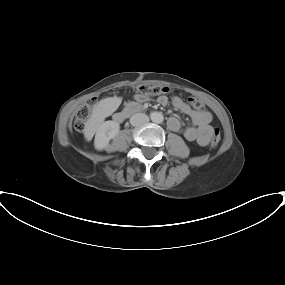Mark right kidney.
<instances>
[{
    "label": "right kidney",
    "instance_id": "ca27d5eb",
    "mask_svg": "<svg viewBox=\"0 0 285 285\" xmlns=\"http://www.w3.org/2000/svg\"><path fill=\"white\" fill-rule=\"evenodd\" d=\"M120 130L119 123L115 121L103 122L97 129L94 147L96 150L110 149L109 141L117 136Z\"/></svg>",
    "mask_w": 285,
    "mask_h": 285
}]
</instances>
